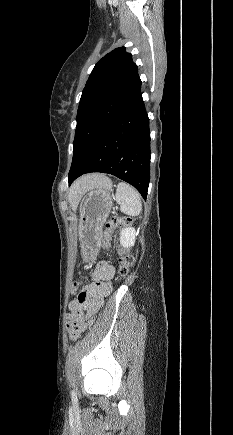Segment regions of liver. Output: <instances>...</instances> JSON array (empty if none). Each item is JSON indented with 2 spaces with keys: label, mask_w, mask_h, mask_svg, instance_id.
I'll return each mask as SVG.
<instances>
[{
  "label": "liver",
  "mask_w": 233,
  "mask_h": 435,
  "mask_svg": "<svg viewBox=\"0 0 233 435\" xmlns=\"http://www.w3.org/2000/svg\"><path fill=\"white\" fill-rule=\"evenodd\" d=\"M107 181L103 174H88L77 179L68 191V201L73 208L76 207L82 195L90 189L102 186Z\"/></svg>",
  "instance_id": "liver-1"
}]
</instances>
